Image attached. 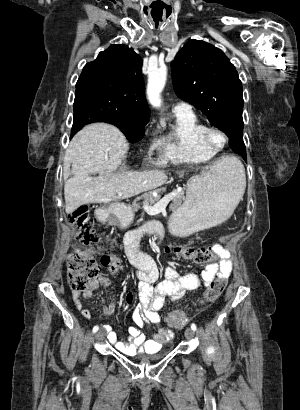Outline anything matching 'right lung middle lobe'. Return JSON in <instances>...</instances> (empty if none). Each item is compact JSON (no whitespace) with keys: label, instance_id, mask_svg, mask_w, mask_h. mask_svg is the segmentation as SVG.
<instances>
[{"label":"right lung middle lobe","instance_id":"1","mask_svg":"<svg viewBox=\"0 0 300 410\" xmlns=\"http://www.w3.org/2000/svg\"><path fill=\"white\" fill-rule=\"evenodd\" d=\"M103 94L93 88H76L74 100L73 136L84 125L92 122H107L117 126L132 142H138L144 135L149 120L134 121L118 117L112 113Z\"/></svg>","mask_w":300,"mask_h":410}]
</instances>
